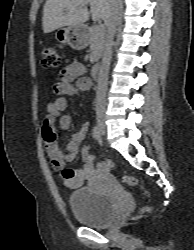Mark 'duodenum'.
<instances>
[{
    "instance_id": "duodenum-1",
    "label": "duodenum",
    "mask_w": 194,
    "mask_h": 250,
    "mask_svg": "<svg viewBox=\"0 0 194 250\" xmlns=\"http://www.w3.org/2000/svg\"><path fill=\"white\" fill-rule=\"evenodd\" d=\"M99 76H100V65L95 64L92 67V78L93 80L97 81L99 79Z\"/></svg>"
}]
</instances>
